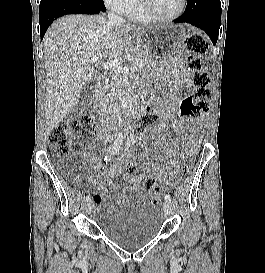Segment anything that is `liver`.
<instances>
[{
	"label": "liver",
	"instance_id": "1",
	"mask_svg": "<svg viewBox=\"0 0 265 273\" xmlns=\"http://www.w3.org/2000/svg\"><path fill=\"white\" fill-rule=\"evenodd\" d=\"M144 29L111 25L100 15H67L50 26L43 39L47 132L77 105L85 85L92 81L91 58L100 55L101 59H118Z\"/></svg>",
	"mask_w": 265,
	"mask_h": 273
}]
</instances>
